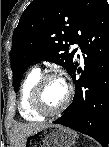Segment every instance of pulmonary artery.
<instances>
[{"instance_id": "1", "label": "pulmonary artery", "mask_w": 109, "mask_h": 147, "mask_svg": "<svg viewBox=\"0 0 109 147\" xmlns=\"http://www.w3.org/2000/svg\"><path fill=\"white\" fill-rule=\"evenodd\" d=\"M75 47L77 48V50H78V53L81 55L82 53H81V50H80V47H79V45H78V44H76V45H75Z\"/></svg>"}]
</instances>
